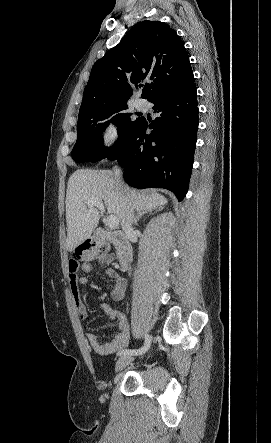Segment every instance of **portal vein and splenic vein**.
Masks as SVG:
<instances>
[{
    "label": "portal vein and splenic vein",
    "instance_id": "obj_1",
    "mask_svg": "<svg viewBox=\"0 0 271 443\" xmlns=\"http://www.w3.org/2000/svg\"><path fill=\"white\" fill-rule=\"evenodd\" d=\"M88 208H98V210H100L101 214H103V212H105V208H104V204H102V200H94V202H88L87 204ZM106 225H108V227H110V229H116V227H118L119 222L118 220H116V218H114V216H108L107 220H106Z\"/></svg>",
    "mask_w": 271,
    "mask_h": 443
}]
</instances>
